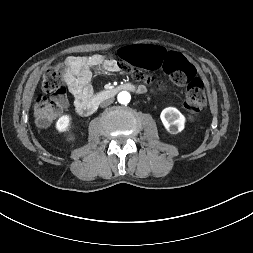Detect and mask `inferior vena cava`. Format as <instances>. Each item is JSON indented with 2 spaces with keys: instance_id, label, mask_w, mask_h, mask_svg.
Here are the masks:
<instances>
[{
  "instance_id": "inferior-vena-cava-1",
  "label": "inferior vena cava",
  "mask_w": 253,
  "mask_h": 253,
  "mask_svg": "<svg viewBox=\"0 0 253 253\" xmlns=\"http://www.w3.org/2000/svg\"><path fill=\"white\" fill-rule=\"evenodd\" d=\"M113 103V99H108V100H105L101 103V107H107L109 106L110 104Z\"/></svg>"
}]
</instances>
